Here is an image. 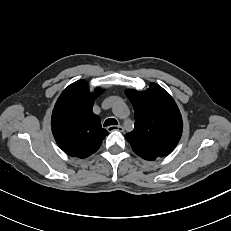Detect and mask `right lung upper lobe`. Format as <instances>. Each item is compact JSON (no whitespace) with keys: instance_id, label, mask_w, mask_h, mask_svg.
I'll list each match as a JSON object with an SVG mask.
<instances>
[{"instance_id":"right-lung-upper-lobe-1","label":"right lung upper lobe","mask_w":231,"mask_h":231,"mask_svg":"<svg viewBox=\"0 0 231 231\" xmlns=\"http://www.w3.org/2000/svg\"><path fill=\"white\" fill-rule=\"evenodd\" d=\"M103 91L96 88L95 95ZM94 94L84 80L69 85L58 98L51 120L54 138L68 155L86 158L95 153L109 133L92 112Z\"/></svg>"}]
</instances>
